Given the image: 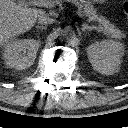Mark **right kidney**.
Masks as SVG:
<instances>
[{
  "instance_id": "obj_1",
  "label": "right kidney",
  "mask_w": 128,
  "mask_h": 128,
  "mask_svg": "<svg viewBox=\"0 0 128 128\" xmlns=\"http://www.w3.org/2000/svg\"><path fill=\"white\" fill-rule=\"evenodd\" d=\"M40 42L35 39H10L3 46L4 63L17 70L33 65Z\"/></svg>"
}]
</instances>
